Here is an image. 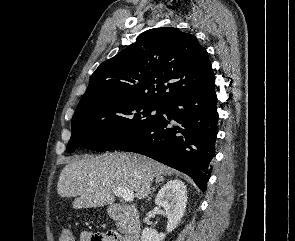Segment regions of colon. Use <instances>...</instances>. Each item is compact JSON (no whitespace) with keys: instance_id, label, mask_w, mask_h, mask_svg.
<instances>
[{"instance_id":"1","label":"colon","mask_w":295,"mask_h":241,"mask_svg":"<svg viewBox=\"0 0 295 241\" xmlns=\"http://www.w3.org/2000/svg\"><path fill=\"white\" fill-rule=\"evenodd\" d=\"M59 241H74L73 235L70 231H62Z\"/></svg>"}]
</instances>
